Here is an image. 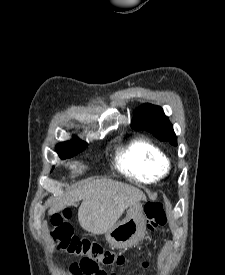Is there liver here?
Segmentation results:
<instances>
[{"label": "liver", "mask_w": 225, "mask_h": 275, "mask_svg": "<svg viewBox=\"0 0 225 275\" xmlns=\"http://www.w3.org/2000/svg\"><path fill=\"white\" fill-rule=\"evenodd\" d=\"M83 200L78 210L80 226L92 233L110 230L125 210L136 202L146 201L138 188L111 179H88L69 189L49 210L57 213Z\"/></svg>", "instance_id": "6515ba94"}]
</instances>
